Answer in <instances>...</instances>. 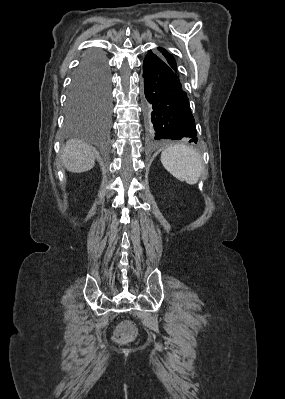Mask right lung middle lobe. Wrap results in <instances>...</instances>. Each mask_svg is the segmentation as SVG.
Returning <instances> with one entry per match:
<instances>
[{
	"label": "right lung middle lobe",
	"mask_w": 285,
	"mask_h": 399,
	"mask_svg": "<svg viewBox=\"0 0 285 399\" xmlns=\"http://www.w3.org/2000/svg\"><path fill=\"white\" fill-rule=\"evenodd\" d=\"M110 79L105 56L91 51L75 72L68 91L66 120L74 127L91 113H110Z\"/></svg>",
	"instance_id": "1"
}]
</instances>
